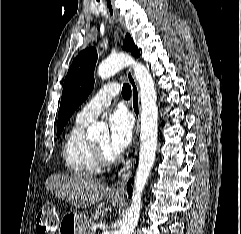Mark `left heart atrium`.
Returning <instances> with one entry per match:
<instances>
[{"mask_svg":"<svg viewBox=\"0 0 241 234\" xmlns=\"http://www.w3.org/2000/svg\"><path fill=\"white\" fill-rule=\"evenodd\" d=\"M108 124L110 148L115 154H119L131 141L133 133L132 120L125 111L118 110L109 116Z\"/></svg>","mask_w":241,"mask_h":234,"instance_id":"left-heart-atrium-1","label":"left heart atrium"}]
</instances>
